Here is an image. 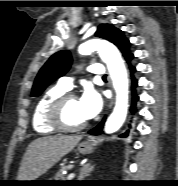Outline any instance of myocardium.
I'll return each instance as SVG.
<instances>
[{
	"instance_id": "1",
	"label": "myocardium",
	"mask_w": 178,
	"mask_h": 186,
	"mask_svg": "<svg viewBox=\"0 0 178 186\" xmlns=\"http://www.w3.org/2000/svg\"><path fill=\"white\" fill-rule=\"evenodd\" d=\"M72 98H77L74 93L65 92L55 98L49 105L46 113V120L50 126L55 130L61 132H77L87 127L88 121H85L79 125L70 126L63 120V112L66 103Z\"/></svg>"
}]
</instances>
